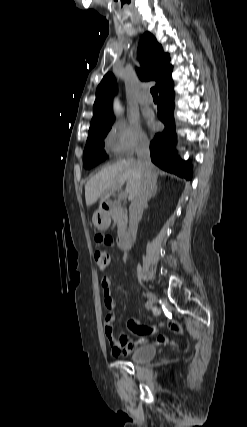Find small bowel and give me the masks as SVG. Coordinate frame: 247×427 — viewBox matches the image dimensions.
<instances>
[{"mask_svg":"<svg viewBox=\"0 0 247 427\" xmlns=\"http://www.w3.org/2000/svg\"><path fill=\"white\" fill-rule=\"evenodd\" d=\"M96 243L109 250H112L115 247L114 240L112 239V234L110 232H98L96 234ZM110 285L111 282L109 278H104L102 280L104 305L108 310L104 323L105 334L112 347L113 355L118 356L122 354H129L139 344L146 342L149 337L156 335L159 327L164 326L165 323L161 322L159 325H141L135 319L130 318L127 321V328L129 331L138 335L139 339L137 341H132L124 334H121L119 337H115L112 324L115 320V313L113 310L116 306V302L112 296ZM168 327L178 335L183 334V328L175 321H170L168 323ZM168 341L169 338L167 336L158 335L156 337V343L158 344H165Z\"/></svg>","mask_w":247,"mask_h":427,"instance_id":"c3829d8e","label":"small bowel"}]
</instances>
